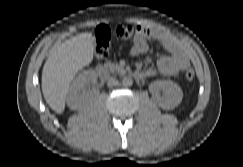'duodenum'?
Wrapping results in <instances>:
<instances>
[{
    "label": "duodenum",
    "mask_w": 243,
    "mask_h": 167,
    "mask_svg": "<svg viewBox=\"0 0 243 167\" xmlns=\"http://www.w3.org/2000/svg\"><path fill=\"white\" fill-rule=\"evenodd\" d=\"M96 73L99 77H104L109 74V71L104 65H98L96 67ZM130 75L135 78H138V79H140L144 76L143 73H141V72H131Z\"/></svg>",
    "instance_id": "obj_1"
}]
</instances>
